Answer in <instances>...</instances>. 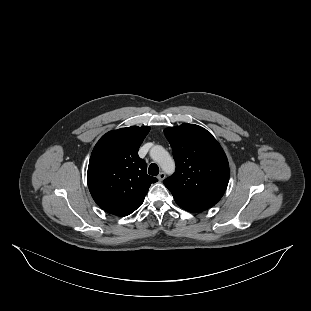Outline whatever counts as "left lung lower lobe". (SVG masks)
<instances>
[{"instance_id": "1", "label": "left lung lower lobe", "mask_w": 311, "mask_h": 311, "mask_svg": "<svg viewBox=\"0 0 311 311\" xmlns=\"http://www.w3.org/2000/svg\"><path fill=\"white\" fill-rule=\"evenodd\" d=\"M176 201V200H175ZM176 203L182 207L183 209L189 211V212H202L204 210H206V208H202V207H197V206H193V205H188V204H184L181 203L179 201H176Z\"/></svg>"}]
</instances>
